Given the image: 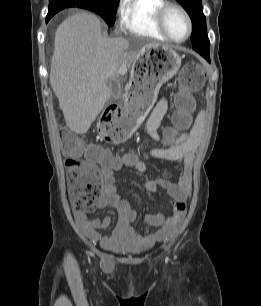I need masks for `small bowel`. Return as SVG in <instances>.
I'll return each mask as SVG.
<instances>
[{"label":"small bowel","instance_id":"c3829d8e","mask_svg":"<svg viewBox=\"0 0 261 306\" xmlns=\"http://www.w3.org/2000/svg\"><path fill=\"white\" fill-rule=\"evenodd\" d=\"M168 109V101L164 98L161 99L145 123V132L152 140L160 144H163L164 141L158 132V128ZM202 131L203 119L200 116L189 131L180 133L178 137L165 146L150 147L146 151V156L150 158L175 161L181 165L180 177L176 183L167 178L159 177L147 181L145 184L149 192L155 193L158 188H161L172 198L174 215L171 219L165 220L160 214H147V227L144 233H140L133 227L132 224L136 221L138 213L117 191L113 172L123 167L144 172L146 171V164L136 158L115 159L106 152L105 158L101 159L103 184L96 207L113 206L119 213V220L111 233L103 235L100 231L109 228L112 223L110 216L90 219L86 211L77 210L74 217L81 232L90 241L99 243L104 250L118 254L126 251H142L158 241L174 237L185 216V202L191 192L190 169L201 146ZM76 164H78V159H68L66 168L70 170Z\"/></svg>","mask_w":261,"mask_h":306}]
</instances>
